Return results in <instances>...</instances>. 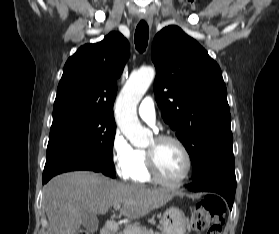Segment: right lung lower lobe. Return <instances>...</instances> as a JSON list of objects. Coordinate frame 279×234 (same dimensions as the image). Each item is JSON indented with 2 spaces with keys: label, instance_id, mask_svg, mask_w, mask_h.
Wrapping results in <instances>:
<instances>
[{
  "label": "right lung lower lobe",
  "instance_id": "1",
  "mask_svg": "<svg viewBox=\"0 0 279 234\" xmlns=\"http://www.w3.org/2000/svg\"><path fill=\"white\" fill-rule=\"evenodd\" d=\"M74 170H91L100 172L99 169L88 160L79 157H68L53 163L43 172V184L47 183L53 176Z\"/></svg>",
  "mask_w": 279,
  "mask_h": 234
}]
</instances>
